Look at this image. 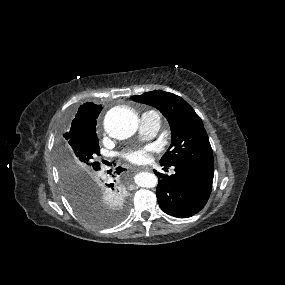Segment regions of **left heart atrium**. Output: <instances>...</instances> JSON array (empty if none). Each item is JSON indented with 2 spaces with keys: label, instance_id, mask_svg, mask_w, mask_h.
Instances as JSON below:
<instances>
[{
  "label": "left heart atrium",
  "instance_id": "obj_1",
  "mask_svg": "<svg viewBox=\"0 0 285 285\" xmlns=\"http://www.w3.org/2000/svg\"><path fill=\"white\" fill-rule=\"evenodd\" d=\"M151 150V147L132 148L124 151L122 156L132 163L142 164L148 161Z\"/></svg>",
  "mask_w": 285,
  "mask_h": 285
}]
</instances>
